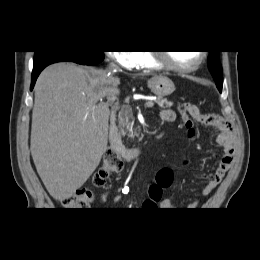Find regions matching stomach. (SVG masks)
<instances>
[{
  "mask_svg": "<svg viewBox=\"0 0 260 260\" xmlns=\"http://www.w3.org/2000/svg\"><path fill=\"white\" fill-rule=\"evenodd\" d=\"M148 87L158 98L171 95L175 91V85L166 76H154L148 81Z\"/></svg>",
  "mask_w": 260,
  "mask_h": 260,
  "instance_id": "obj_1",
  "label": "stomach"
}]
</instances>
